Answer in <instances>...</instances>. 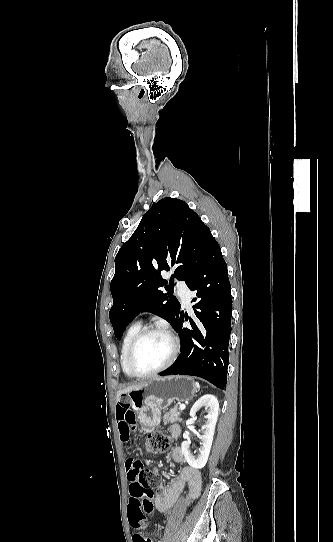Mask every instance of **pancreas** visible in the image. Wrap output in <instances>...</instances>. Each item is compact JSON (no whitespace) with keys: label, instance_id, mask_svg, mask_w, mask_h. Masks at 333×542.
I'll use <instances>...</instances> for the list:
<instances>
[{"label":"pancreas","instance_id":"1","mask_svg":"<svg viewBox=\"0 0 333 542\" xmlns=\"http://www.w3.org/2000/svg\"><path fill=\"white\" fill-rule=\"evenodd\" d=\"M180 410L177 406L170 408L169 412H164L163 422L164 424H173V422H178L180 420Z\"/></svg>","mask_w":333,"mask_h":542}]
</instances>
